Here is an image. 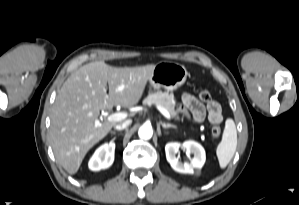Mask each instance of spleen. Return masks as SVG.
Masks as SVG:
<instances>
[{
	"mask_svg": "<svg viewBox=\"0 0 299 205\" xmlns=\"http://www.w3.org/2000/svg\"><path fill=\"white\" fill-rule=\"evenodd\" d=\"M236 147V126L232 119H228L225 123L223 138L216 149V155L221 169H224L229 164L235 154Z\"/></svg>",
	"mask_w": 299,
	"mask_h": 205,
	"instance_id": "3e777b00",
	"label": "spleen"
}]
</instances>
